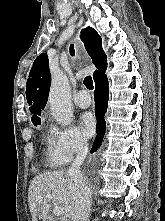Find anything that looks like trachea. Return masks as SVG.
<instances>
[{"mask_svg":"<svg viewBox=\"0 0 165 221\" xmlns=\"http://www.w3.org/2000/svg\"><path fill=\"white\" fill-rule=\"evenodd\" d=\"M83 83H84V85L86 86L87 89L93 90L94 86H93V81H92L91 76H86Z\"/></svg>","mask_w":165,"mask_h":221,"instance_id":"3493384b","label":"trachea"}]
</instances>
